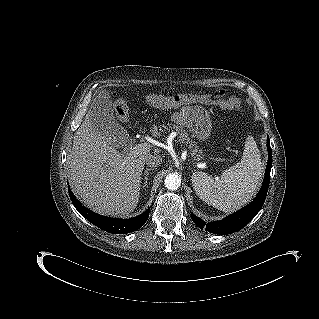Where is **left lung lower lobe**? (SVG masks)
Segmentation results:
<instances>
[{
  "instance_id": "left-lung-lower-lobe-1",
  "label": "left lung lower lobe",
  "mask_w": 319,
  "mask_h": 319,
  "mask_svg": "<svg viewBox=\"0 0 319 319\" xmlns=\"http://www.w3.org/2000/svg\"><path fill=\"white\" fill-rule=\"evenodd\" d=\"M267 148H268V163L266 167L264 181L262 183V187L254 199V201L246 206L245 208L241 209L240 211L226 217L224 220L205 223L202 219L191 214V219L193 222L200 228L209 231L210 233L226 235L237 232L238 230L242 229L245 225H247L260 211L262 208L270 181V170L272 166V150L269 143V138H267Z\"/></svg>"
}]
</instances>
